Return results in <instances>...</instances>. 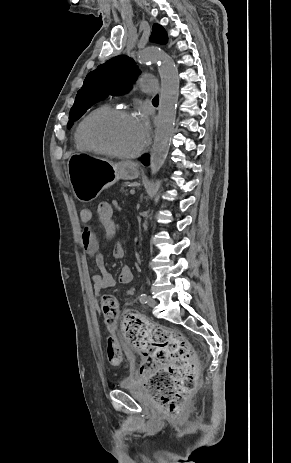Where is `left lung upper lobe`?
<instances>
[{
	"instance_id": "5c2ea615",
	"label": "left lung upper lobe",
	"mask_w": 291,
	"mask_h": 463,
	"mask_svg": "<svg viewBox=\"0 0 291 463\" xmlns=\"http://www.w3.org/2000/svg\"><path fill=\"white\" fill-rule=\"evenodd\" d=\"M150 41L167 43L168 37L162 26H153ZM138 74L140 71L137 70L134 60L125 55L114 57L88 73L70 110L67 128H70L93 104L109 94L120 95L127 92Z\"/></svg>"
}]
</instances>
